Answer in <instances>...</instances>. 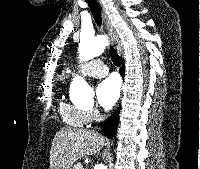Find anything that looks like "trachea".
<instances>
[{"label": "trachea", "mask_w": 200, "mask_h": 169, "mask_svg": "<svg viewBox=\"0 0 200 169\" xmlns=\"http://www.w3.org/2000/svg\"><path fill=\"white\" fill-rule=\"evenodd\" d=\"M85 2L88 3V5L91 9V12L93 14V17L95 19V22L100 27L102 25V17H101L100 7H99L97 1L96 0H85ZM109 54H110L111 60L115 66H120L122 64V59L120 58V56L117 54V52L115 51V49L112 46L110 47Z\"/></svg>", "instance_id": "obj_1"}]
</instances>
